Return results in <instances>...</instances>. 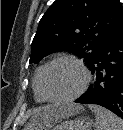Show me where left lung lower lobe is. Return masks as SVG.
I'll list each match as a JSON object with an SVG mask.
<instances>
[{
  "label": "left lung lower lobe",
  "instance_id": "1",
  "mask_svg": "<svg viewBox=\"0 0 123 130\" xmlns=\"http://www.w3.org/2000/svg\"><path fill=\"white\" fill-rule=\"evenodd\" d=\"M90 70L93 83L76 102L101 105L123 118V22L102 47Z\"/></svg>",
  "mask_w": 123,
  "mask_h": 130
}]
</instances>
